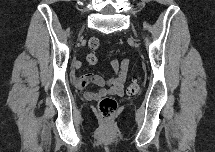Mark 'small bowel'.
Returning <instances> with one entry per match:
<instances>
[{"label":"small bowel","instance_id":"1","mask_svg":"<svg viewBox=\"0 0 215 152\" xmlns=\"http://www.w3.org/2000/svg\"><path fill=\"white\" fill-rule=\"evenodd\" d=\"M111 66L115 75L105 79L97 74L88 73L74 79L75 87L82 91L88 100H98L105 95H122L126 74L129 66L128 59L119 63L117 60L111 61ZM90 85L96 86V91L88 90Z\"/></svg>","mask_w":215,"mask_h":152}]
</instances>
